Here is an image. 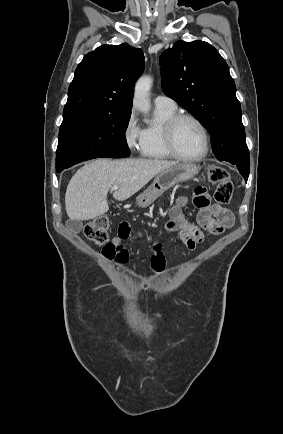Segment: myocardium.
Masks as SVG:
<instances>
[{
	"label": "myocardium",
	"mask_w": 283,
	"mask_h": 434,
	"mask_svg": "<svg viewBox=\"0 0 283 434\" xmlns=\"http://www.w3.org/2000/svg\"><path fill=\"white\" fill-rule=\"evenodd\" d=\"M185 119L194 122L202 134L203 150L200 154H198L196 156L182 155L181 153H179V151L177 150V148L175 146V141H174L175 128L180 121L185 120ZM163 135H164V142H165L167 150L172 155V157H174L178 160L187 161V162L200 161L209 152L210 139H209L208 130L205 127V125L203 124V122L193 114H190V113H176V114H174L165 123L164 129H163Z\"/></svg>",
	"instance_id": "1"
}]
</instances>
